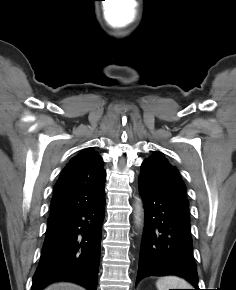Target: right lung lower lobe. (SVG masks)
<instances>
[{"label":"right lung lower lobe","instance_id":"1","mask_svg":"<svg viewBox=\"0 0 236 290\" xmlns=\"http://www.w3.org/2000/svg\"><path fill=\"white\" fill-rule=\"evenodd\" d=\"M104 196L48 224L32 290L55 281H71L96 290L100 261Z\"/></svg>","mask_w":236,"mask_h":290}]
</instances>
